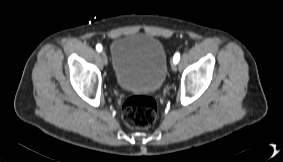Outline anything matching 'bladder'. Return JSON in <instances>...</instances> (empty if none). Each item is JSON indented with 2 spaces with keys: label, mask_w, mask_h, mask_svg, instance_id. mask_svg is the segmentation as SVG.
I'll return each instance as SVG.
<instances>
[{
  "label": "bladder",
  "mask_w": 283,
  "mask_h": 162,
  "mask_svg": "<svg viewBox=\"0 0 283 162\" xmlns=\"http://www.w3.org/2000/svg\"><path fill=\"white\" fill-rule=\"evenodd\" d=\"M111 56L114 80L124 91L152 93L164 84L167 56L156 37L143 33L123 35L112 43Z\"/></svg>",
  "instance_id": "obj_1"
}]
</instances>
